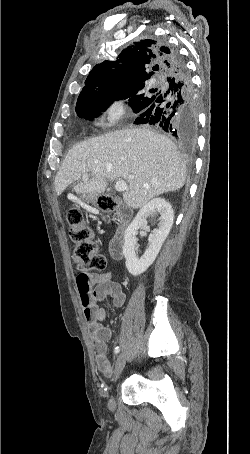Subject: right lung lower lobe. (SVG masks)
<instances>
[{
    "label": "right lung lower lobe",
    "mask_w": 250,
    "mask_h": 454,
    "mask_svg": "<svg viewBox=\"0 0 250 454\" xmlns=\"http://www.w3.org/2000/svg\"><path fill=\"white\" fill-rule=\"evenodd\" d=\"M169 50L170 70L163 79L166 91L143 106L135 124H150L163 129L176 139L192 144L198 126L197 105L191 77L179 53Z\"/></svg>",
    "instance_id": "1"
}]
</instances>
